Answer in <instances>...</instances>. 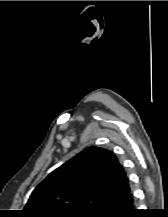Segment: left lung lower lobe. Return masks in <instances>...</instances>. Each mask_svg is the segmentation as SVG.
Here are the masks:
<instances>
[{"instance_id":"obj_1","label":"left lung lower lobe","mask_w":168,"mask_h":217,"mask_svg":"<svg viewBox=\"0 0 168 217\" xmlns=\"http://www.w3.org/2000/svg\"><path fill=\"white\" fill-rule=\"evenodd\" d=\"M134 199L128 184L114 194L105 204L104 209L97 217H137Z\"/></svg>"}]
</instances>
